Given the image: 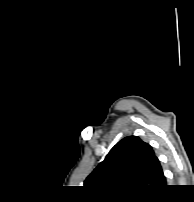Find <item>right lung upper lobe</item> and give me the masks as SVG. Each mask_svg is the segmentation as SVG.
Wrapping results in <instances>:
<instances>
[{
    "mask_svg": "<svg viewBox=\"0 0 194 202\" xmlns=\"http://www.w3.org/2000/svg\"><path fill=\"white\" fill-rule=\"evenodd\" d=\"M84 186L106 196H147L166 187V178L152 147L137 136L118 142Z\"/></svg>",
    "mask_w": 194,
    "mask_h": 202,
    "instance_id": "obj_1",
    "label": "right lung upper lobe"
}]
</instances>
